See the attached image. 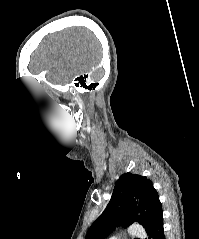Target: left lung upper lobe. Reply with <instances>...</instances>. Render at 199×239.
Returning a JSON list of instances; mask_svg holds the SVG:
<instances>
[{"instance_id":"obj_1","label":"left lung upper lobe","mask_w":199,"mask_h":239,"mask_svg":"<svg viewBox=\"0 0 199 239\" xmlns=\"http://www.w3.org/2000/svg\"><path fill=\"white\" fill-rule=\"evenodd\" d=\"M162 210L152 181L145 176L125 173L117 180L104 212L89 228L85 239H105L116 226L141 224L146 228Z\"/></svg>"}]
</instances>
